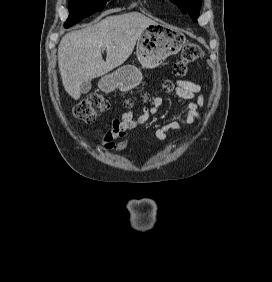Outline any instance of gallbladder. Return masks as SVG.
<instances>
[{
  "label": "gallbladder",
  "mask_w": 272,
  "mask_h": 282,
  "mask_svg": "<svg viewBox=\"0 0 272 282\" xmlns=\"http://www.w3.org/2000/svg\"><path fill=\"white\" fill-rule=\"evenodd\" d=\"M90 89H91V81H87L81 85L80 91L82 94H86L90 91Z\"/></svg>",
  "instance_id": "obj_1"
}]
</instances>
